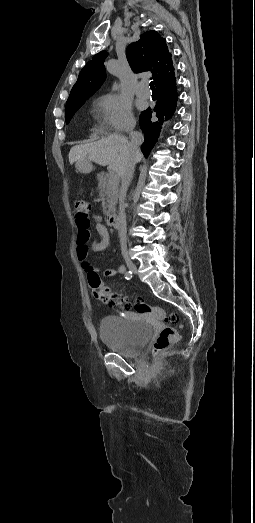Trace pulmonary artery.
<instances>
[{
  "mask_svg": "<svg viewBox=\"0 0 255 523\" xmlns=\"http://www.w3.org/2000/svg\"><path fill=\"white\" fill-rule=\"evenodd\" d=\"M135 93L138 97L150 98L152 93H151L148 81L147 80L140 81L138 87L135 90Z\"/></svg>",
  "mask_w": 255,
  "mask_h": 523,
  "instance_id": "e3ab8cb5",
  "label": "pulmonary artery"
}]
</instances>
